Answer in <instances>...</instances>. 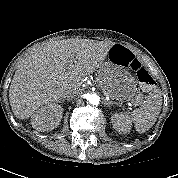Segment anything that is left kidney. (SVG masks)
<instances>
[{"mask_svg":"<svg viewBox=\"0 0 178 178\" xmlns=\"http://www.w3.org/2000/svg\"><path fill=\"white\" fill-rule=\"evenodd\" d=\"M113 128L118 133H128L131 130V120L124 113H115L111 116Z\"/></svg>","mask_w":178,"mask_h":178,"instance_id":"obj_1","label":"left kidney"}]
</instances>
